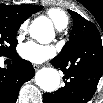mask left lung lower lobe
<instances>
[{
    "label": "left lung lower lobe",
    "instance_id": "0a47b994",
    "mask_svg": "<svg viewBox=\"0 0 103 103\" xmlns=\"http://www.w3.org/2000/svg\"><path fill=\"white\" fill-rule=\"evenodd\" d=\"M85 48L92 54L73 52L69 57H55L51 64L65 74V86L44 94L45 103H87L94 94L103 74V45L101 37H89Z\"/></svg>",
    "mask_w": 103,
    "mask_h": 103
}]
</instances>
